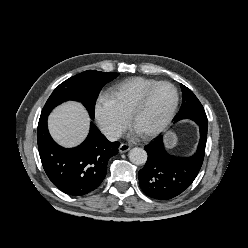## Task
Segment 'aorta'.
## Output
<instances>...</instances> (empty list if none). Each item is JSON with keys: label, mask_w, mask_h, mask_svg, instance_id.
<instances>
[{"label": "aorta", "mask_w": 248, "mask_h": 248, "mask_svg": "<svg viewBox=\"0 0 248 248\" xmlns=\"http://www.w3.org/2000/svg\"><path fill=\"white\" fill-rule=\"evenodd\" d=\"M128 156L129 160L135 165H143L147 161V152L143 148H132Z\"/></svg>", "instance_id": "obj_1"}]
</instances>
